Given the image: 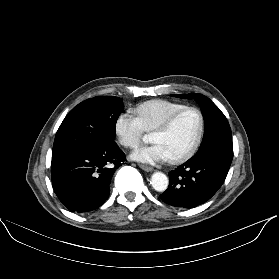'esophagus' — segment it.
Returning <instances> with one entry per match:
<instances>
[{"instance_id": "esophagus-1", "label": "esophagus", "mask_w": 279, "mask_h": 279, "mask_svg": "<svg viewBox=\"0 0 279 279\" xmlns=\"http://www.w3.org/2000/svg\"><path fill=\"white\" fill-rule=\"evenodd\" d=\"M139 166L141 169H143L144 171H147V172H152L154 170L153 167L148 166V165L140 164Z\"/></svg>"}]
</instances>
